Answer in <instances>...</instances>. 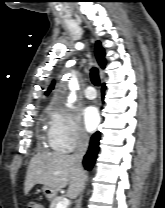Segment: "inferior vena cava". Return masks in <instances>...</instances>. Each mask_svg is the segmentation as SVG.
Segmentation results:
<instances>
[{
    "mask_svg": "<svg viewBox=\"0 0 165 208\" xmlns=\"http://www.w3.org/2000/svg\"><path fill=\"white\" fill-rule=\"evenodd\" d=\"M88 142L89 137L85 132H80L78 141H77V147L73 155H71V159L82 168V160L83 156L85 155L87 149H88Z\"/></svg>",
    "mask_w": 165,
    "mask_h": 208,
    "instance_id": "obj_1",
    "label": "inferior vena cava"
}]
</instances>
